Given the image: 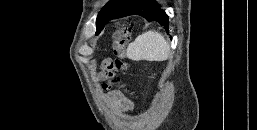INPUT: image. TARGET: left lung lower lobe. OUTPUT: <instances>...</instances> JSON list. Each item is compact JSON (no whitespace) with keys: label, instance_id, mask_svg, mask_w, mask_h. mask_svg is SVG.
Segmentation results:
<instances>
[{"label":"left lung lower lobe","instance_id":"1","mask_svg":"<svg viewBox=\"0 0 257 130\" xmlns=\"http://www.w3.org/2000/svg\"><path fill=\"white\" fill-rule=\"evenodd\" d=\"M132 14H138L148 21L159 22L164 25L168 31V16L159 8V5L154 0H129L122 7L116 8L107 18V21L113 17L119 18ZM102 29H97V34H99Z\"/></svg>","mask_w":257,"mask_h":130}]
</instances>
